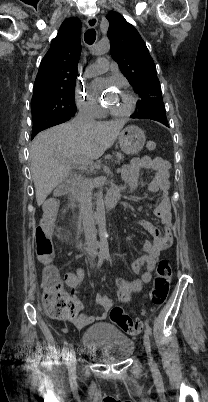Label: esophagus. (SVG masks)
<instances>
[{
  "mask_svg": "<svg viewBox=\"0 0 208 402\" xmlns=\"http://www.w3.org/2000/svg\"><path fill=\"white\" fill-rule=\"evenodd\" d=\"M86 24L89 28H94L98 24V19L95 16H90L87 18Z\"/></svg>",
  "mask_w": 208,
  "mask_h": 402,
  "instance_id": "34e87169",
  "label": "esophagus"
}]
</instances>
